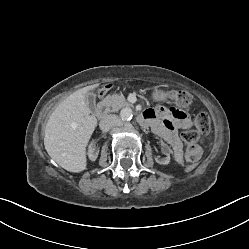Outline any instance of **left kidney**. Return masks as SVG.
I'll use <instances>...</instances> for the list:
<instances>
[{
  "instance_id": "obj_1",
  "label": "left kidney",
  "mask_w": 249,
  "mask_h": 249,
  "mask_svg": "<svg viewBox=\"0 0 249 249\" xmlns=\"http://www.w3.org/2000/svg\"><path fill=\"white\" fill-rule=\"evenodd\" d=\"M154 142L157 145L159 152L152 155V161L154 163L167 165L170 162L171 150L168 146H166L164 140L160 137L156 138Z\"/></svg>"
}]
</instances>
